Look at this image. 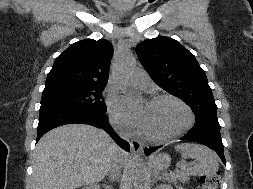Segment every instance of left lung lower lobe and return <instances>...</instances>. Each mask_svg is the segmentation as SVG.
Wrapping results in <instances>:
<instances>
[{"label": "left lung lower lobe", "instance_id": "left-lung-lower-lobe-1", "mask_svg": "<svg viewBox=\"0 0 253 189\" xmlns=\"http://www.w3.org/2000/svg\"><path fill=\"white\" fill-rule=\"evenodd\" d=\"M181 140L195 141L210 147L218 154L222 162L226 165V160L224 157V147L221 141L219 124H195L194 127L191 128ZM160 147L161 146L146 148L145 153L148 155L150 154V152H153Z\"/></svg>", "mask_w": 253, "mask_h": 189}]
</instances>
